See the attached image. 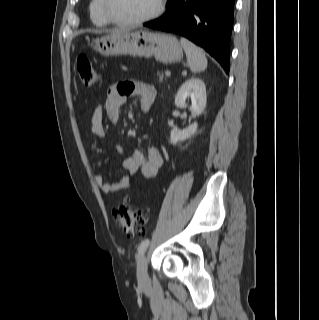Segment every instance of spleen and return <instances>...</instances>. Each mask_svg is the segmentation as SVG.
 Wrapping results in <instances>:
<instances>
[{"mask_svg": "<svg viewBox=\"0 0 319 320\" xmlns=\"http://www.w3.org/2000/svg\"><path fill=\"white\" fill-rule=\"evenodd\" d=\"M190 70L194 73L202 72L207 68V59L202 49L186 38H181Z\"/></svg>", "mask_w": 319, "mask_h": 320, "instance_id": "3e777b00", "label": "spleen"}]
</instances>
